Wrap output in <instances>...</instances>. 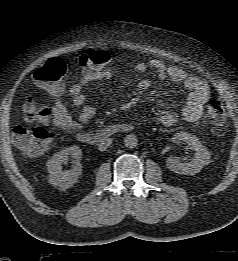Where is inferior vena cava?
Segmentation results:
<instances>
[{
	"mask_svg": "<svg viewBox=\"0 0 238 261\" xmlns=\"http://www.w3.org/2000/svg\"><path fill=\"white\" fill-rule=\"evenodd\" d=\"M111 142V138L102 139L98 144V149L100 151H105L110 146Z\"/></svg>",
	"mask_w": 238,
	"mask_h": 261,
	"instance_id": "inferior-vena-cava-1",
	"label": "inferior vena cava"
}]
</instances>
